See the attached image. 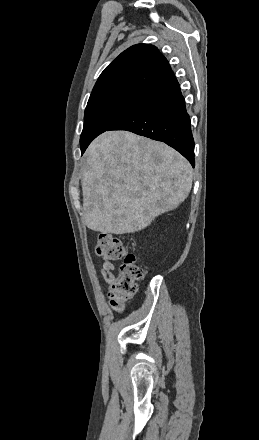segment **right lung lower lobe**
Instances as JSON below:
<instances>
[{"instance_id":"right-lung-lower-lobe-1","label":"right lung lower lobe","mask_w":259,"mask_h":440,"mask_svg":"<svg viewBox=\"0 0 259 440\" xmlns=\"http://www.w3.org/2000/svg\"><path fill=\"white\" fill-rule=\"evenodd\" d=\"M109 130H127L165 142L195 166L190 118L180 85L172 71L149 89L145 96L107 131ZM86 148L82 150V154Z\"/></svg>"}]
</instances>
